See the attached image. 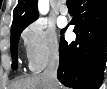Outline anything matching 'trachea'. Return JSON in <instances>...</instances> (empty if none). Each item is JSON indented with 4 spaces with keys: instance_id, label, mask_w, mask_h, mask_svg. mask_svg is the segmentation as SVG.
Instances as JSON below:
<instances>
[{
    "instance_id": "obj_1",
    "label": "trachea",
    "mask_w": 107,
    "mask_h": 89,
    "mask_svg": "<svg viewBox=\"0 0 107 89\" xmlns=\"http://www.w3.org/2000/svg\"><path fill=\"white\" fill-rule=\"evenodd\" d=\"M73 4V0H67V5H72Z\"/></svg>"
}]
</instances>
